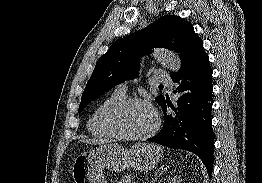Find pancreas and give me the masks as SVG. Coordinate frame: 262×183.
Listing matches in <instances>:
<instances>
[{"mask_svg": "<svg viewBox=\"0 0 262 183\" xmlns=\"http://www.w3.org/2000/svg\"><path fill=\"white\" fill-rule=\"evenodd\" d=\"M132 179H133L132 175H125L117 183H133Z\"/></svg>", "mask_w": 262, "mask_h": 183, "instance_id": "pancreas-1", "label": "pancreas"}]
</instances>
